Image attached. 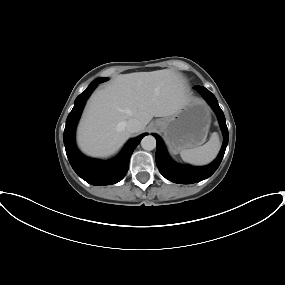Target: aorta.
<instances>
[{
	"label": "aorta",
	"instance_id": "1",
	"mask_svg": "<svg viewBox=\"0 0 285 285\" xmlns=\"http://www.w3.org/2000/svg\"><path fill=\"white\" fill-rule=\"evenodd\" d=\"M141 146L146 151H151L156 147V139L152 135L145 136L141 141Z\"/></svg>",
	"mask_w": 285,
	"mask_h": 285
}]
</instances>
